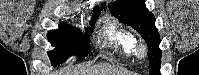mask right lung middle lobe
<instances>
[{
  "label": "right lung middle lobe",
  "instance_id": "1",
  "mask_svg": "<svg viewBox=\"0 0 199 75\" xmlns=\"http://www.w3.org/2000/svg\"><path fill=\"white\" fill-rule=\"evenodd\" d=\"M100 15H94L91 19V28L87 29V33L82 35L80 30L63 24L58 30L48 32V40L55 47L54 50L48 52V56L53 66L63 63L66 59L75 55L78 60H83L90 53V45L88 42L89 32L92 30L94 22Z\"/></svg>",
  "mask_w": 199,
  "mask_h": 75
}]
</instances>
